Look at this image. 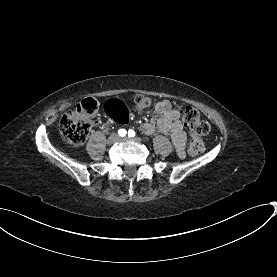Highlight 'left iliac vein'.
I'll use <instances>...</instances> for the list:
<instances>
[{"instance_id":"1","label":"left iliac vein","mask_w":277,"mask_h":277,"mask_svg":"<svg viewBox=\"0 0 277 277\" xmlns=\"http://www.w3.org/2000/svg\"><path fill=\"white\" fill-rule=\"evenodd\" d=\"M125 139H126V138H122V140H125ZM136 140H137V141H140V139H139V138H137Z\"/></svg>"}]
</instances>
